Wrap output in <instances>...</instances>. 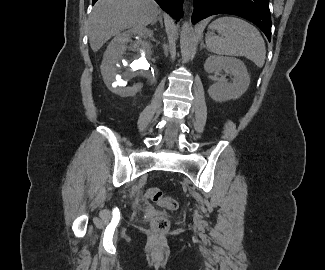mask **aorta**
Wrapping results in <instances>:
<instances>
[{"mask_svg": "<svg viewBox=\"0 0 325 270\" xmlns=\"http://www.w3.org/2000/svg\"><path fill=\"white\" fill-rule=\"evenodd\" d=\"M180 49L183 62L188 61L193 49V34L188 22H185L182 26L180 35Z\"/></svg>", "mask_w": 325, "mask_h": 270, "instance_id": "aorta-1", "label": "aorta"}]
</instances>
